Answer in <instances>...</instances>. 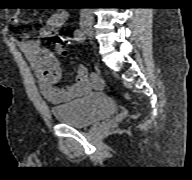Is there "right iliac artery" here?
I'll use <instances>...</instances> for the list:
<instances>
[{
    "instance_id": "obj_1",
    "label": "right iliac artery",
    "mask_w": 192,
    "mask_h": 180,
    "mask_svg": "<svg viewBox=\"0 0 192 180\" xmlns=\"http://www.w3.org/2000/svg\"><path fill=\"white\" fill-rule=\"evenodd\" d=\"M74 39L76 41H79V42H84L86 37H85L84 33L80 29H77L74 32Z\"/></svg>"
}]
</instances>
